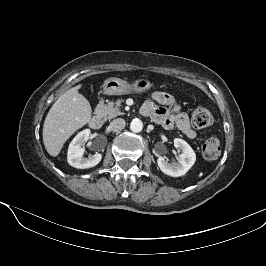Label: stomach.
<instances>
[{"label":"stomach","mask_w":266,"mask_h":266,"mask_svg":"<svg viewBox=\"0 0 266 266\" xmlns=\"http://www.w3.org/2000/svg\"><path fill=\"white\" fill-rule=\"evenodd\" d=\"M153 86V82L146 78L136 79L130 84L123 79L110 77L104 81L102 89L106 95H124L130 93H143L150 90Z\"/></svg>","instance_id":"obj_1"}]
</instances>
